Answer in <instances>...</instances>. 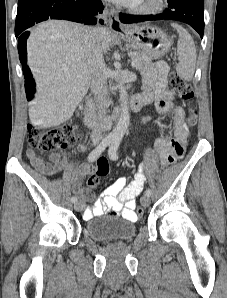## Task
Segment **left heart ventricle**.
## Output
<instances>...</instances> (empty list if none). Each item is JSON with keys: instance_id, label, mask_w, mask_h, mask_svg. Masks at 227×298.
<instances>
[{"instance_id": "1", "label": "left heart ventricle", "mask_w": 227, "mask_h": 298, "mask_svg": "<svg viewBox=\"0 0 227 298\" xmlns=\"http://www.w3.org/2000/svg\"><path fill=\"white\" fill-rule=\"evenodd\" d=\"M153 0H139L138 2H137V4H148V3H150V2H152Z\"/></svg>"}]
</instances>
